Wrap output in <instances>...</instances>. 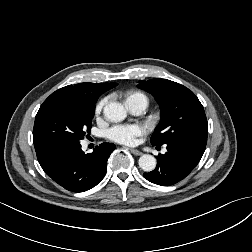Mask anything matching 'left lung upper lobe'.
<instances>
[{"label":"left lung upper lobe","instance_id":"obj_1","mask_svg":"<svg viewBox=\"0 0 252 252\" xmlns=\"http://www.w3.org/2000/svg\"><path fill=\"white\" fill-rule=\"evenodd\" d=\"M138 87L151 93L161 108L160 123L151 136L152 145L189 138L207 142L204 108L188 88L161 78L139 81Z\"/></svg>","mask_w":252,"mask_h":252}]
</instances>
